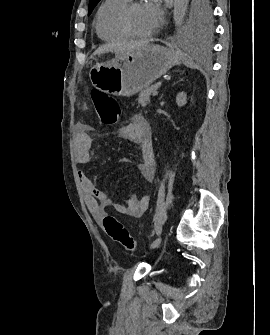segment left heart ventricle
<instances>
[{"instance_id":"obj_1","label":"left heart ventricle","mask_w":270,"mask_h":335,"mask_svg":"<svg viewBox=\"0 0 270 335\" xmlns=\"http://www.w3.org/2000/svg\"><path fill=\"white\" fill-rule=\"evenodd\" d=\"M128 25L135 34L142 35L145 33V22L142 10L139 6L134 7L128 16Z\"/></svg>"}]
</instances>
